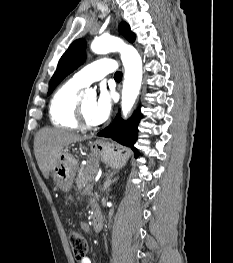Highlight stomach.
Returning a JSON list of instances; mask_svg holds the SVG:
<instances>
[{
    "label": "stomach",
    "instance_id": "stomach-1",
    "mask_svg": "<svg viewBox=\"0 0 233 263\" xmlns=\"http://www.w3.org/2000/svg\"><path fill=\"white\" fill-rule=\"evenodd\" d=\"M90 148L94 157L116 169L123 167L130 155L129 152L114 148L110 143L100 140L90 142ZM76 169V160L66 151L61 152L51 170V176L55 186L63 191H69L72 180L76 175Z\"/></svg>",
    "mask_w": 233,
    "mask_h": 263
}]
</instances>
